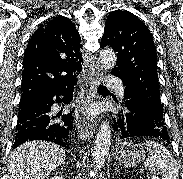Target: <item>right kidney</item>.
<instances>
[{
  "label": "right kidney",
  "mask_w": 183,
  "mask_h": 179,
  "mask_svg": "<svg viewBox=\"0 0 183 179\" xmlns=\"http://www.w3.org/2000/svg\"><path fill=\"white\" fill-rule=\"evenodd\" d=\"M50 179H63V177L60 176V175H56V176H54V177H51Z\"/></svg>",
  "instance_id": "ca27d5eb"
}]
</instances>
